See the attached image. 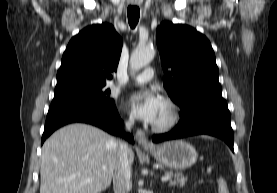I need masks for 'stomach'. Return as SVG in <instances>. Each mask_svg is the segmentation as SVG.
<instances>
[{
  "label": "stomach",
  "mask_w": 277,
  "mask_h": 193,
  "mask_svg": "<svg viewBox=\"0 0 277 193\" xmlns=\"http://www.w3.org/2000/svg\"><path fill=\"white\" fill-rule=\"evenodd\" d=\"M158 162L176 170L192 166L198 158L196 149L184 140H172L147 149Z\"/></svg>",
  "instance_id": "obj_1"
}]
</instances>
